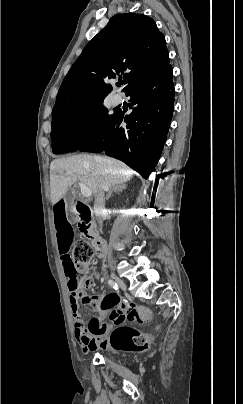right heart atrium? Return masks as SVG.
<instances>
[{
  "label": "right heart atrium",
  "mask_w": 243,
  "mask_h": 404,
  "mask_svg": "<svg viewBox=\"0 0 243 404\" xmlns=\"http://www.w3.org/2000/svg\"><path fill=\"white\" fill-rule=\"evenodd\" d=\"M93 122V115L89 111L82 112L75 121V129L82 133L90 128Z\"/></svg>",
  "instance_id": "right-heart-atrium-1"
}]
</instances>
